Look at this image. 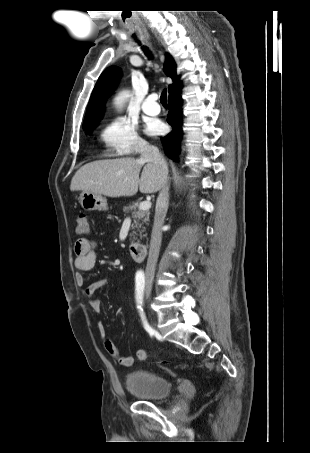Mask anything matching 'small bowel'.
Here are the masks:
<instances>
[{"instance_id":"c3829d8e","label":"small bowel","mask_w":310,"mask_h":453,"mask_svg":"<svg viewBox=\"0 0 310 453\" xmlns=\"http://www.w3.org/2000/svg\"><path fill=\"white\" fill-rule=\"evenodd\" d=\"M74 255L75 280L78 286H83L85 283L83 273L93 269L96 263L95 243L86 238L77 239L74 244ZM111 282L110 278H103L92 282L82 290L83 295L89 299L91 308L97 313L101 311L102 307L100 301L94 295L97 290L110 285ZM97 329L106 352L120 365L130 367L135 358L139 361H144L147 358L146 350L142 348L136 351L135 358L122 355L114 342L107 336L105 325L102 322L98 323Z\"/></svg>"}]
</instances>
